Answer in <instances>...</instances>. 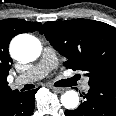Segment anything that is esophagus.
<instances>
[{
    "label": "esophagus",
    "instance_id": "esophagus-1",
    "mask_svg": "<svg viewBox=\"0 0 116 116\" xmlns=\"http://www.w3.org/2000/svg\"><path fill=\"white\" fill-rule=\"evenodd\" d=\"M50 88L57 93H63L66 90L65 88L55 87L53 85H50Z\"/></svg>",
    "mask_w": 116,
    "mask_h": 116
}]
</instances>
